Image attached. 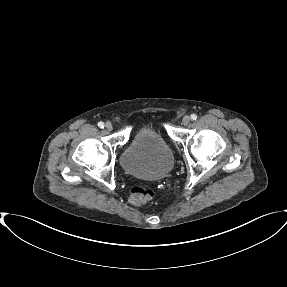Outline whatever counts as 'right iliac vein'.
<instances>
[{"label":"right iliac vein","mask_w":287,"mask_h":287,"mask_svg":"<svg viewBox=\"0 0 287 287\" xmlns=\"http://www.w3.org/2000/svg\"><path fill=\"white\" fill-rule=\"evenodd\" d=\"M105 128H106L108 131H111V130L113 129L112 123H111V122H107V123L105 124Z\"/></svg>","instance_id":"63e3f726"}]
</instances>
